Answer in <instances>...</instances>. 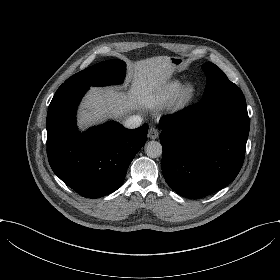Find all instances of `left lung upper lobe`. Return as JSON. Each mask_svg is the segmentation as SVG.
<instances>
[{"mask_svg": "<svg viewBox=\"0 0 280 280\" xmlns=\"http://www.w3.org/2000/svg\"><path fill=\"white\" fill-rule=\"evenodd\" d=\"M202 69L207 77L203 99L237 87L234 83L229 81L223 71L213 63L207 62L203 64Z\"/></svg>", "mask_w": 280, "mask_h": 280, "instance_id": "left-lung-upper-lobe-1", "label": "left lung upper lobe"}]
</instances>
